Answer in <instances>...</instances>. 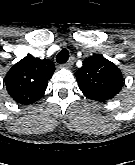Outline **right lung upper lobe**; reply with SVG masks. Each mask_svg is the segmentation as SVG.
<instances>
[{"mask_svg": "<svg viewBox=\"0 0 135 165\" xmlns=\"http://www.w3.org/2000/svg\"><path fill=\"white\" fill-rule=\"evenodd\" d=\"M54 68V63L50 60L24 57L5 76L9 95L16 102L25 105L38 101L45 93Z\"/></svg>", "mask_w": 135, "mask_h": 165, "instance_id": "cb5924a9", "label": "right lung upper lobe"}]
</instances>
